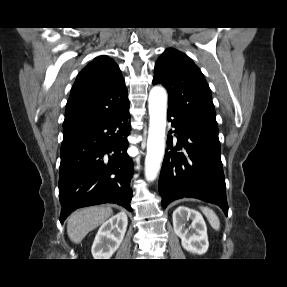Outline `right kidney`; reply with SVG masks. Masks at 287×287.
I'll return each instance as SVG.
<instances>
[{
	"instance_id": "1",
	"label": "right kidney",
	"mask_w": 287,
	"mask_h": 287,
	"mask_svg": "<svg viewBox=\"0 0 287 287\" xmlns=\"http://www.w3.org/2000/svg\"><path fill=\"white\" fill-rule=\"evenodd\" d=\"M127 225L125 212L112 216L102 224L91 248L94 259H110L122 243Z\"/></svg>"
}]
</instances>
